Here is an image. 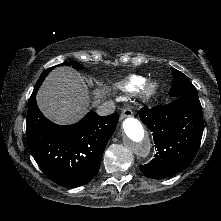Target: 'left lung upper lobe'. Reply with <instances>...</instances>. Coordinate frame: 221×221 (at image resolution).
Here are the masks:
<instances>
[{
  "mask_svg": "<svg viewBox=\"0 0 221 221\" xmlns=\"http://www.w3.org/2000/svg\"><path fill=\"white\" fill-rule=\"evenodd\" d=\"M173 75L172 87L169 96L171 99L186 97L190 100H199L198 93L190 80L180 71L171 68Z\"/></svg>",
  "mask_w": 221,
  "mask_h": 221,
  "instance_id": "1",
  "label": "left lung upper lobe"
}]
</instances>
